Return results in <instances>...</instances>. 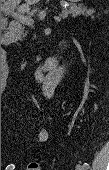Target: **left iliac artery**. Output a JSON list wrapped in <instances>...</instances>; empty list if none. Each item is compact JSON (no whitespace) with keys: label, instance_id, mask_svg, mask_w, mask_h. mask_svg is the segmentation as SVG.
Listing matches in <instances>:
<instances>
[{"label":"left iliac artery","instance_id":"obj_1","mask_svg":"<svg viewBox=\"0 0 109 170\" xmlns=\"http://www.w3.org/2000/svg\"><path fill=\"white\" fill-rule=\"evenodd\" d=\"M82 166H83L84 170H87L89 168V164L88 163H84Z\"/></svg>","mask_w":109,"mask_h":170}]
</instances>
